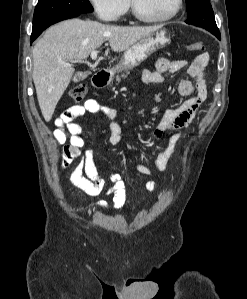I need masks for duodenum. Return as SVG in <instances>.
I'll list each match as a JSON object with an SVG mask.
<instances>
[{
    "mask_svg": "<svg viewBox=\"0 0 247 299\" xmlns=\"http://www.w3.org/2000/svg\"><path fill=\"white\" fill-rule=\"evenodd\" d=\"M112 75L111 69H104L97 72L92 79L93 85L96 88H102L109 82Z\"/></svg>",
    "mask_w": 247,
    "mask_h": 299,
    "instance_id": "410a0bca",
    "label": "duodenum"
}]
</instances>
